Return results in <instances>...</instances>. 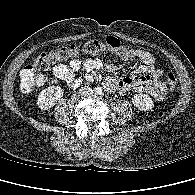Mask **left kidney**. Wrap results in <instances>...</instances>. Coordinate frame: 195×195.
Listing matches in <instances>:
<instances>
[{
  "label": "left kidney",
  "instance_id": "left-kidney-1",
  "mask_svg": "<svg viewBox=\"0 0 195 195\" xmlns=\"http://www.w3.org/2000/svg\"><path fill=\"white\" fill-rule=\"evenodd\" d=\"M132 102L142 111H149L154 107L153 100L146 94H135L132 98Z\"/></svg>",
  "mask_w": 195,
  "mask_h": 195
}]
</instances>
